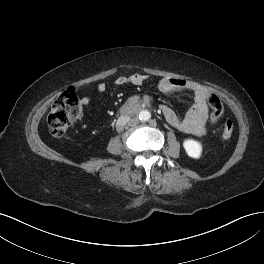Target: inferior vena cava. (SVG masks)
<instances>
[{"label":"inferior vena cava","mask_w":264,"mask_h":264,"mask_svg":"<svg viewBox=\"0 0 264 264\" xmlns=\"http://www.w3.org/2000/svg\"><path fill=\"white\" fill-rule=\"evenodd\" d=\"M129 120H130V117L128 116H120L117 121V124L122 126V125H125L127 122H129Z\"/></svg>","instance_id":"1"}]
</instances>
